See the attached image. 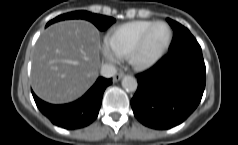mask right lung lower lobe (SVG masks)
I'll use <instances>...</instances> for the list:
<instances>
[{"instance_id": "obj_1", "label": "right lung lower lobe", "mask_w": 238, "mask_h": 145, "mask_svg": "<svg viewBox=\"0 0 238 145\" xmlns=\"http://www.w3.org/2000/svg\"><path fill=\"white\" fill-rule=\"evenodd\" d=\"M112 79L99 77L96 83L80 99L63 105H52L39 99L34 92L33 98L39 110L54 125L65 129H78L91 124L98 116L102 96Z\"/></svg>"}]
</instances>
